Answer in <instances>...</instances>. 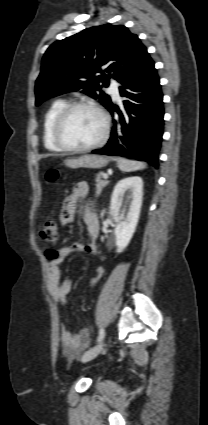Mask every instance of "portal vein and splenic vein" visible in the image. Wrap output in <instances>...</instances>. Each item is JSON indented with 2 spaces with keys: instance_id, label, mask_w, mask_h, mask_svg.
I'll return each instance as SVG.
<instances>
[{
  "instance_id": "18ae733b",
  "label": "portal vein and splenic vein",
  "mask_w": 208,
  "mask_h": 425,
  "mask_svg": "<svg viewBox=\"0 0 208 425\" xmlns=\"http://www.w3.org/2000/svg\"><path fill=\"white\" fill-rule=\"evenodd\" d=\"M103 178H104V179H108V174L104 173V174H103Z\"/></svg>"
}]
</instances>
